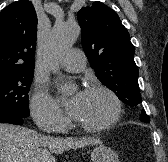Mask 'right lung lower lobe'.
Here are the masks:
<instances>
[{"label": "right lung lower lobe", "mask_w": 168, "mask_h": 162, "mask_svg": "<svg viewBox=\"0 0 168 162\" xmlns=\"http://www.w3.org/2000/svg\"><path fill=\"white\" fill-rule=\"evenodd\" d=\"M0 122L21 125L23 117L0 113Z\"/></svg>", "instance_id": "98d812e1"}]
</instances>
